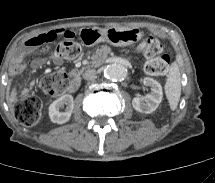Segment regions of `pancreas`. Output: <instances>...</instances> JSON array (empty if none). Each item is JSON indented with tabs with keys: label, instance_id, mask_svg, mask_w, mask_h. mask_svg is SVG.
I'll return each mask as SVG.
<instances>
[{
	"label": "pancreas",
	"instance_id": "cf45deb5",
	"mask_svg": "<svg viewBox=\"0 0 215 183\" xmlns=\"http://www.w3.org/2000/svg\"><path fill=\"white\" fill-rule=\"evenodd\" d=\"M82 72H83V69L79 70L77 73H76V71L74 70L71 74H72V75H75V74L80 75Z\"/></svg>",
	"mask_w": 215,
	"mask_h": 183
}]
</instances>
